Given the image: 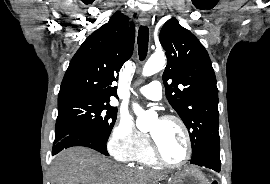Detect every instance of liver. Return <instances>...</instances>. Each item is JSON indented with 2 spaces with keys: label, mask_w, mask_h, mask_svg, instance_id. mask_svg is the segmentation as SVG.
<instances>
[{
  "label": "liver",
  "mask_w": 270,
  "mask_h": 184,
  "mask_svg": "<svg viewBox=\"0 0 270 184\" xmlns=\"http://www.w3.org/2000/svg\"><path fill=\"white\" fill-rule=\"evenodd\" d=\"M52 184H146L154 175L135 172L114 164L85 147L59 153L52 163Z\"/></svg>",
  "instance_id": "obj_1"
}]
</instances>
